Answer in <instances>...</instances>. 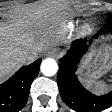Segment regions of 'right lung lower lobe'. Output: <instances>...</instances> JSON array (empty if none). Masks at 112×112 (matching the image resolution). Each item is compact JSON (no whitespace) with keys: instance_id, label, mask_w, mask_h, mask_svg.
Here are the masks:
<instances>
[{"instance_id":"1","label":"right lung lower lobe","mask_w":112,"mask_h":112,"mask_svg":"<svg viewBox=\"0 0 112 112\" xmlns=\"http://www.w3.org/2000/svg\"><path fill=\"white\" fill-rule=\"evenodd\" d=\"M41 60L20 68L0 85V112H19L26 104L30 86L39 73Z\"/></svg>"}]
</instances>
